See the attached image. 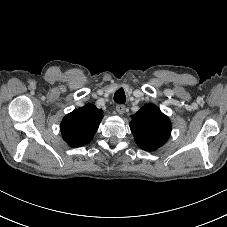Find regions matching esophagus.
<instances>
[{
  "instance_id": "1",
  "label": "esophagus",
  "mask_w": 227,
  "mask_h": 227,
  "mask_svg": "<svg viewBox=\"0 0 227 227\" xmlns=\"http://www.w3.org/2000/svg\"><path fill=\"white\" fill-rule=\"evenodd\" d=\"M116 112L118 114H123L125 112V106L122 104L116 105Z\"/></svg>"
}]
</instances>
